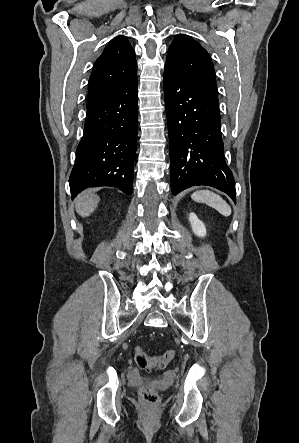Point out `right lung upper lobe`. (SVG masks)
<instances>
[{
    "mask_svg": "<svg viewBox=\"0 0 299 443\" xmlns=\"http://www.w3.org/2000/svg\"><path fill=\"white\" fill-rule=\"evenodd\" d=\"M137 77L134 49L127 38H113L96 60L89 79L87 107L122 88Z\"/></svg>",
    "mask_w": 299,
    "mask_h": 443,
    "instance_id": "obj_1",
    "label": "right lung upper lobe"
}]
</instances>
